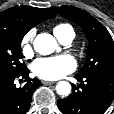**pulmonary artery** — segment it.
<instances>
[{"label": "pulmonary artery", "instance_id": "pulmonary-artery-1", "mask_svg": "<svg viewBox=\"0 0 114 114\" xmlns=\"http://www.w3.org/2000/svg\"><path fill=\"white\" fill-rule=\"evenodd\" d=\"M74 38V33L68 34L65 38L61 40V42L65 45L70 44Z\"/></svg>", "mask_w": 114, "mask_h": 114}]
</instances>
